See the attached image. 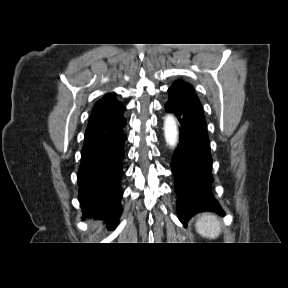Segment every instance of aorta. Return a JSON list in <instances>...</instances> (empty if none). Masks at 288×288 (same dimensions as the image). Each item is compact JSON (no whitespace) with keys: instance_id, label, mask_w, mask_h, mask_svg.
<instances>
[{"instance_id":"aorta-1","label":"aorta","mask_w":288,"mask_h":288,"mask_svg":"<svg viewBox=\"0 0 288 288\" xmlns=\"http://www.w3.org/2000/svg\"><path fill=\"white\" fill-rule=\"evenodd\" d=\"M164 137L170 148L178 144V127L175 117L172 114L166 115L164 119Z\"/></svg>"}]
</instances>
